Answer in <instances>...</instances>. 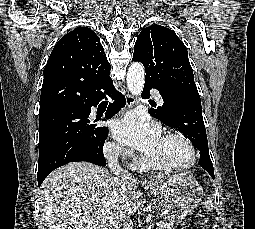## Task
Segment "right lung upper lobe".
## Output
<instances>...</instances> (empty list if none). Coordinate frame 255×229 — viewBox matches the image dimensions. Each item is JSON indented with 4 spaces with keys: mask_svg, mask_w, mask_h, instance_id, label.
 <instances>
[{
    "mask_svg": "<svg viewBox=\"0 0 255 229\" xmlns=\"http://www.w3.org/2000/svg\"><path fill=\"white\" fill-rule=\"evenodd\" d=\"M98 36L78 27L55 45L44 69L39 116L91 104L113 86Z\"/></svg>",
    "mask_w": 255,
    "mask_h": 229,
    "instance_id": "cb5924a9",
    "label": "right lung upper lobe"
}]
</instances>
